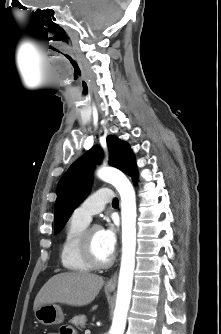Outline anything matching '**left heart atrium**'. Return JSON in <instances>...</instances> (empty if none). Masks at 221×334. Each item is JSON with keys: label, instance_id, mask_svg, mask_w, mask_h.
I'll return each mask as SVG.
<instances>
[{"label": "left heart atrium", "instance_id": "obj_1", "mask_svg": "<svg viewBox=\"0 0 221 334\" xmlns=\"http://www.w3.org/2000/svg\"><path fill=\"white\" fill-rule=\"evenodd\" d=\"M102 238L105 246L114 252L117 244V231L114 225L109 223L105 228L101 229Z\"/></svg>", "mask_w": 221, "mask_h": 334}]
</instances>
